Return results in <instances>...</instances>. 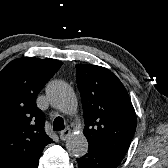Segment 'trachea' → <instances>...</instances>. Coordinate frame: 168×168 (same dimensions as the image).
Returning <instances> with one entry per match:
<instances>
[{"label": "trachea", "instance_id": "trachea-1", "mask_svg": "<svg viewBox=\"0 0 168 168\" xmlns=\"http://www.w3.org/2000/svg\"><path fill=\"white\" fill-rule=\"evenodd\" d=\"M65 128L64 121L61 117H56L53 122V130L61 131Z\"/></svg>", "mask_w": 168, "mask_h": 168}]
</instances>
